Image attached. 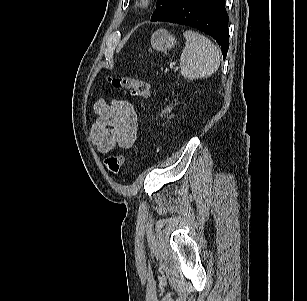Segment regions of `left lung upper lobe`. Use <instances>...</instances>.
Returning <instances> with one entry per match:
<instances>
[{
  "label": "left lung upper lobe",
  "instance_id": "left-lung-upper-lobe-1",
  "mask_svg": "<svg viewBox=\"0 0 307 301\" xmlns=\"http://www.w3.org/2000/svg\"><path fill=\"white\" fill-rule=\"evenodd\" d=\"M179 0H157L156 10L154 11L151 21H157L167 14Z\"/></svg>",
  "mask_w": 307,
  "mask_h": 301
}]
</instances>
